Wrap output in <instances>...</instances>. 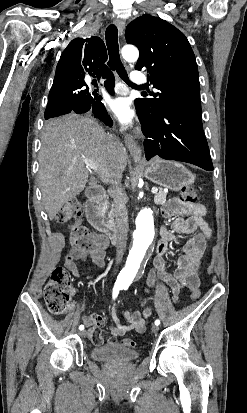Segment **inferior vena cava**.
<instances>
[{
	"label": "inferior vena cava",
	"instance_id": "1",
	"mask_svg": "<svg viewBox=\"0 0 247 413\" xmlns=\"http://www.w3.org/2000/svg\"><path fill=\"white\" fill-rule=\"evenodd\" d=\"M108 140L114 144H122L116 134H107ZM110 180L112 198L116 209V227L118 231L116 265L122 261L126 249L127 233L129 231L128 213L126 209L127 198L121 188L122 172H113Z\"/></svg>",
	"mask_w": 247,
	"mask_h": 413
}]
</instances>
